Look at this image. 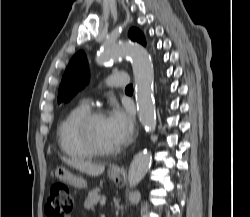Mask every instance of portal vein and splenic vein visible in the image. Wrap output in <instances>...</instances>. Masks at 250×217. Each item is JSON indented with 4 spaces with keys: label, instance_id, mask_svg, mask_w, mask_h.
<instances>
[{
    "label": "portal vein and splenic vein",
    "instance_id": "18ae733b",
    "mask_svg": "<svg viewBox=\"0 0 250 217\" xmlns=\"http://www.w3.org/2000/svg\"><path fill=\"white\" fill-rule=\"evenodd\" d=\"M105 204H106V199H105V198L101 199L100 205H101V206H104Z\"/></svg>",
    "mask_w": 250,
    "mask_h": 217
}]
</instances>
